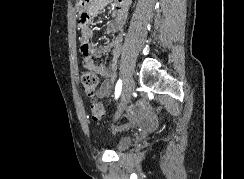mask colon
Listing matches in <instances>:
<instances>
[{
    "instance_id": "1",
    "label": "colon",
    "mask_w": 244,
    "mask_h": 179,
    "mask_svg": "<svg viewBox=\"0 0 244 179\" xmlns=\"http://www.w3.org/2000/svg\"><path fill=\"white\" fill-rule=\"evenodd\" d=\"M81 82L85 93L88 95V93H94L96 91L99 84V78L94 72L85 69L81 72ZM140 101L141 102H135V107H138L139 110H148L150 106L148 98H141ZM89 108L93 120L98 121L105 116V106L101 100L94 98L93 102H89ZM120 129H122V127H113L114 131Z\"/></svg>"
}]
</instances>
